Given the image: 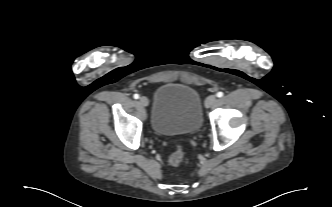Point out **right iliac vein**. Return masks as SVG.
I'll use <instances>...</instances> for the list:
<instances>
[{
	"mask_svg": "<svg viewBox=\"0 0 332 207\" xmlns=\"http://www.w3.org/2000/svg\"><path fill=\"white\" fill-rule=\"evenodd\" d=\"M139 102L142 106H148V104H149L148 99L144 96L140 97Z\"/></svg>",
	"mask_w": 332,
	"mask_h": 207,
	"instance_id": "1",
	"label": "right iliac vein"
}]
</instances>
